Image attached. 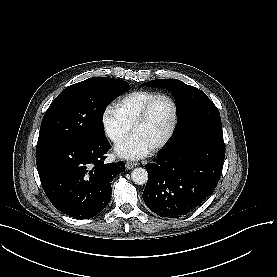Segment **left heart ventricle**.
<instances>
[{"label":"left heart ventricle","mask_w":277,"mask_h":277,"mask_svg":"<svg viewBox=\"0 0 277 277\" xmlns=\"http://www.w3.org/2000/svg\"><path fill=\"white\" fill-rule=\"evenodd\" d=\"M171 107L164 100L156 101L149 109L147 116L140 126L137 136L146 143L153 144L160 140L170 121Z\"/></svg>","instance_id":"left-heart-ventricle-1"}]
</instances>
